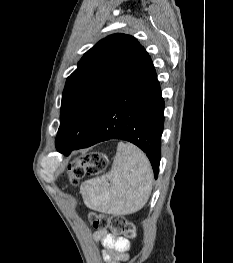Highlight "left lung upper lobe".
<instances>
[{"mask_svg": "<svg viewBox=\"0 0 233 263\" xmlns=\"http://www.w3.org/2000/svg\"><path fill=\"white\" fill-rule=\"evenodd\" d=\"M146 54L134 37L125 34L110 35L87 51L66 81L56 139L83 143Z\"/></svg>", "mask_w": 233, "mask_h": 263, "instance_id": "left-lung-upper-lobe-1", "label": "left lung upper lobe"}]
</instances>
